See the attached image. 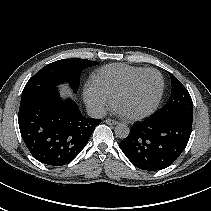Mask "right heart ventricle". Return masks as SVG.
Wrapping results in <instances>:
<instances>
[{
    "label": "right heart ventricle",
    "instance_id": "right-heart-ventricle-1",
    "mask_svg": "<svg viewBox=\"0 0 211 211\" xmlns=\"http://www.w3.org/2000/svg\"><path fill=\"white\" fill-rule=\"evenodd\" d=\"M143 70H145L143 67L126 64H110L100 68L93 75L92 82L112 97L132 77Z\"/></svg>",
    "mask_w": 211,
    "mask_h": 211
}]
</instances>
